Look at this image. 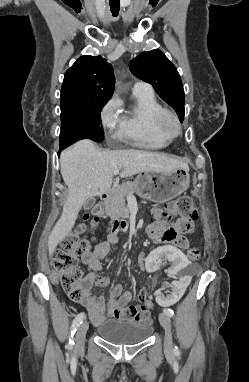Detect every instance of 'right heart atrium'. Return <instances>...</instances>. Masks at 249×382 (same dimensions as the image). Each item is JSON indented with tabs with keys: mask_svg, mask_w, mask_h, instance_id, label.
<instances>
[{
	"mask_svg": "<svg viewBox=\"0 0 249 382\" xmlns=\"http://www.w3.org/2000/svg\"><path fill=\"white\" fill-rule=\"evenodd\" d=\"M120 104L116 98L110 99L102 108L100 118L102 127L112 132L119 128L122 118L119 113Z\"/></svg>",
	"mask_w": 249,
	"mask_h": 382,
	"instance_id": "obj_1",
	"label": "right heart atrium"
}]
</instances>
